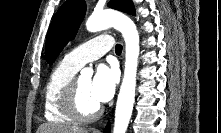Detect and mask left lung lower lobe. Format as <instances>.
I'll use <instances>...</instances> for the list:
<instances>
[{"mask_svg": "<svg viewBox=\"0 0 221 133\" xmlns=\"http://www.w3.org/2000/svg\"><path fill=\"white\" fill-rule=\"evenodd\" d=\"M109 130H110V127H109V125H107L104 132L109 133Z\"/></svg>", "mask_w": 221, "mask_h": 133, "instance_id": "obj_1", "label": "left lung lower lobe"}]
</instances>
